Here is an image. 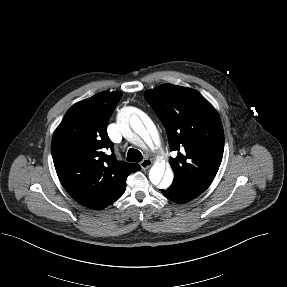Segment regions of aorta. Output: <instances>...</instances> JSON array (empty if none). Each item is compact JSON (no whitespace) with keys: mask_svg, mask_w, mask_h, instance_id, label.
I'll return each mask as SVG.
<instances>
[{"mask_svg":"<svg viewBox=\"0 0 287 287\" xmlns=\"http://www.w3.org/2000/svg\"><path fill=\"white\" fill-rule=\"evenodd\" d=\"M129 119L130 126L133 131L138 134L145 142H150L151 137L154 139L158 137V131L156 129V126L147 115L143 116L142 121L135 114L131 115ZM127 120L128 115L124 111L119 117L120 124L123 128L126 127ZM173 178L174 175L171 168L167 167L165 170V165L163 163L156 162L151 167L149 172V179L152 184L157 185L163 189H166L171 185Z\"/></svg>","mask_w":287,"mask_h":287,"instance_id":"762f6f07","label":"aorta"}]
</instances>
